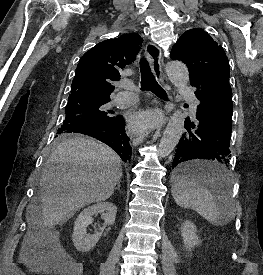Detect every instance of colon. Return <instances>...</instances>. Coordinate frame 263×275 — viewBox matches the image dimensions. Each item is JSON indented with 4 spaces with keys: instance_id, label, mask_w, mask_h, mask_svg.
<instances>
[{
    "instance_id": "1",
    "label": "colon",
    "mask_w": 263,
    "mask_h": 275,
    "mask_svg": "<svg viewBox=\"0 0 263 275\" xmlns=\"http://www.w3.org/2000/svg\"><path fill=\"white\" fill-rule=\"evenodd\" d=\"M51 253L53 255V262L56 265L68 268L69 270H74L75 265L66 258L65 254L59 247H52Z\"/></svg>"
}]
</instances>
